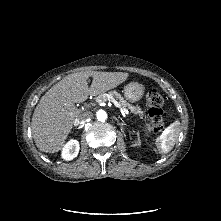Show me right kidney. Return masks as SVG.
<instances>
[{"instance_id":"ca27d5eb","label":"right kidney","mask_w":221,"mask_h":221,"mask_svg":"<svg viewBox=\"0 0 221 221\" xmlns=\"http://www.w3.org/2000/svg\"><path fill=\"white\" fill-rule=\"evenodd\" d=\"M79 149V142L77 140H70L62 150V158L66 161L74 159L77 157Z\"/></svg>"}]
</instances>
